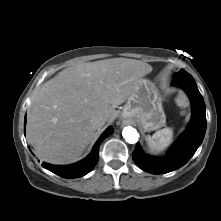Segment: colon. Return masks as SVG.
<instances>
[{"instance_id":"colon-1","label":"colon","mask_w":221,"mask_h":221,"mask_svg":"<svg viewBox=\"0 0 221 221\" xmlns=\"http://www.w3.org/2000/svg\"><path fill=\"white\" fill-rule=\"evenodd\" d=\"M177 103L180 107H184L187 103V98L184 94H180L177 98Z\"/></svg>"}]
</instances>
